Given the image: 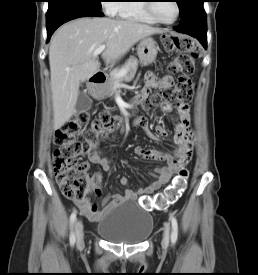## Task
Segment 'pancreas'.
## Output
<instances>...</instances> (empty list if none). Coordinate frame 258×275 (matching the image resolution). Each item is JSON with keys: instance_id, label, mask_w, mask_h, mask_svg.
<instances>
[{"instance_id": "cf45deb5", "label": "pancreas", "mask_w": 258, "mask_h": 275, "mask_svg": "<svg viewBox=\"0 0 258 275\" xmlns=\"http://www.w3.org/2000/svg\"><path fill=\"white\" fill-rule=\"evenodd\" d=\"M138 68V60L135 58L129 59L121 68L114 69L108 77L107 83L105 85L106 94L113 91L114 85L121 81H130L134 78ZM122 69H127V73L122 77H116Z\"/></svg>"}]
</instances>
